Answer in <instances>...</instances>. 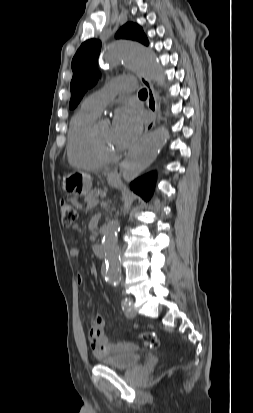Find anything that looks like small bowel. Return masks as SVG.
Here are the masks:
<instances>
[{"label": "small bowel", "instance_id": "small-bowel-1", "mask_svg": "<svg viewBox=\"0 0 253 413\" xmlns=\"http://www.w3.org/2000/svg\"><path fill=\"white\" fill-rule=\"evenodd\" d=\"M71 254L74 257L79 256V248L74 247L71 250ZM77 281L79 284H82L83 277L78 275ZM87 337L93 353L97 356H108L125 348V345L122 343L110 342L108 337L104 334V319L99 314L93 315Z\"/></svg>", "mask_w": 253, "mask_h": 413}]
</instances>
